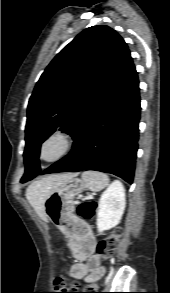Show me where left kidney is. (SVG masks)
Returning a JSON list of instances; mask_svg holds the SVG:
<instances>
[{"label": "left kidney", "instance_id": "left-kidney-1", "mask_svg": "<svg viewBox=\"0 0 170 293\" xmlns=\"http://www.w3.org/2000/svg\"><path fill=\"white\" fill-rule=\"evenodd\" d=\"M125 204V188L120 181H114L102 193L98 203L96 224L99 233L120 223Z\"/></svg>", "mask_w": 170, "mask_h": 293}]
</instances>
